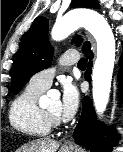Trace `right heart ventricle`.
<instances>
[{
	"instance_id": "obj_1",
	"label": "right heart ventricle",
	"mask_w": 123,
	"mask_h": 152,
	"mask_svg": "<svg viewBox=\"0 0 123 152\" xmlns=\"http://www.w3.org/2000/svg\"><path fill=\"white\" fill-rule=\"evenodd\" d=\"M43 92V89L28 85L13 101L9 121L18 132L30 137H45L49 134L51 126L38 105Z\"/></svg>"
}]
</instances>
